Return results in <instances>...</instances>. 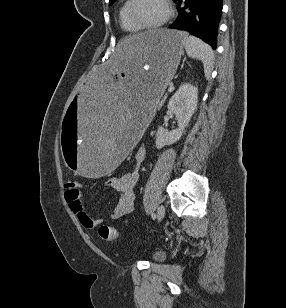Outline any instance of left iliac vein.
<instances>
[{
  "mask_svg": "<svg viewBox=\"0 0 286 308\" xmlns=\"http://www.w3.org/2000/svg\"><path fill=\"white\" fill-rule=\"evenodd\" d=\"M165 215V207L163 205H160L157 209V218L159 221H161L164 218Z\"/></svg>",
  "mask_w": 286,
  "mask_h": 308,
  "instance_id": "4c4485c4",
  "label": "left iliac vein"
}]
</instances>
